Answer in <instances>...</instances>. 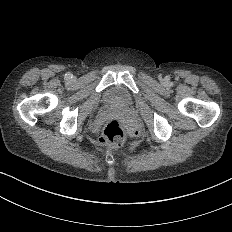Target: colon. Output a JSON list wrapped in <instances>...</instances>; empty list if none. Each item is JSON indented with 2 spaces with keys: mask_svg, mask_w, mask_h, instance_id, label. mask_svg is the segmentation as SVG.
Masks as SVG:
<instances>
[{
  "mask_svg": "<svg viewBox=\"0 0 232 232\" xmlns=\"http://www.w3.org/2000/svg\"><path fill=\"white\" fill-rule=\"evenodd\" d=\"M127 140L126 124L122 120L108 122L101 130L103 149H113L115 145H122Z\"/></svg>",
  "mask_w": 232,
  "mask_h": 232,
  "instance_id": "5ec220e1",
  "label": "colon"
}]
</instances>
